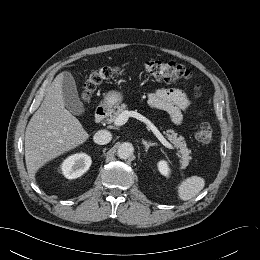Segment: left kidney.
<instances>
[{"label": "left kidney", "mask_w": 260, "mask_h": 260, "mask_svg": "<svg viewBox=\"0 0 260 260\" xmlns=\"http://www.w3.org/2000/svg\"><path fill=\"white\" fill-rule=\"evenodd\" d=\"M157 167H158L159 172L162 175H164L166 177L169 176L170 169H169L168 163L166 161H164V160L159 161L157 164Z\"/></svg>", "instance_id": "left-kidney-1"}]
</instances>
